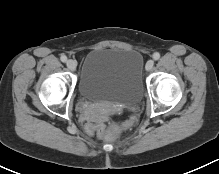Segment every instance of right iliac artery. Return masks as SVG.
<instances>
[{"instance_id":"right-iliac-artery-1","label":"right iliac artery","mask_w":219,"mask_h":174,"mask_svg":"<svg viewBox=\"0 0 219 174\" xmlns=\"http://www.w3.org/2000/svg\"><path fill=\"white\" fill-rule=\"evenodd\" d=\"M60 59H61L62 62H66L67 61V57L65 55H62L60 57Z\"/></svg>"}]
</instances>
